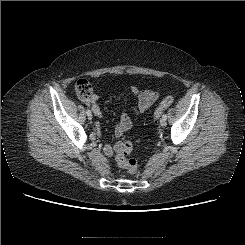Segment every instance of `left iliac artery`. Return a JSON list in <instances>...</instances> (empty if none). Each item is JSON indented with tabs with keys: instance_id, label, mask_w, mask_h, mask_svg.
I'll return each mask as SVG.
<instances>
[{
	"instance_id": "44dca946",
	"label": "left iliac artery",
	"mask_w": 245,
	"mask_h": 245,
	"mask_svg": "<svg viewBox=\"0 0 245 245\" xmlns=\"http://www.w3.org/2000/svg\"><path fill=\"white\" fill-rule=\"evenodd\" d=\"M162 118L167 119V115L163 114Z\"/></svg>"
}]
</instances>
